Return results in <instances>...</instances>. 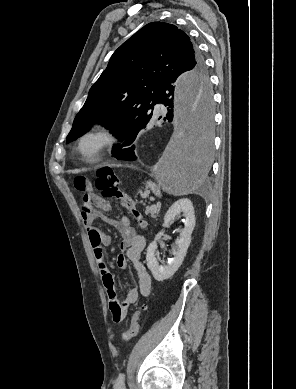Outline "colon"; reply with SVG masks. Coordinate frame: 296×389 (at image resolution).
I'll return each instance as SVG.
<instances>
[{
  "mask_svg": "<svg viewBox=\"0 0 296 389\" xmlns=\"http://www.w3.org/2000/svg\"><path fill=\"white\" fill-rule=\"evenodd\" d=\"M95 186L98 191L101 193V196L104 199H120L123 207L130 211L133 218L140 226L145 225V221L141 213L136 209L135 203L132 198L124 194L120 188L119 180L113 169L110 167H103L97 171ZM74 187L84 194H87L91 191V183L84 176H77L74 179ZM145 309L144 306L138 308L130 322L129 328L123 332L122 340L125 342L131 341L135 338L139 332V316L141 311ZM122 315L119 311H116L113 315L114 322H120L122 320Z\"/></svg>",
  "mask_w": 296,
  "mask_h": 389,
  "instance_id": "5ec220e1",
  "label": "colon"
}]
</instances>
